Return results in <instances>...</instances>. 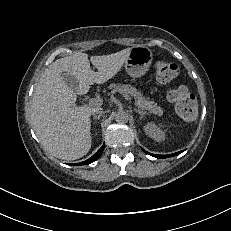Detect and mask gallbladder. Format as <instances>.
<instances>
[{
    "instance_id": "obj_1",
    "label": "gallbladder",
    "mask_w": 231,
    "mask_h": 231,
    "mask_svg": "<svg viewBox=\"0 0 231 231\" xmlns=\"http://www.w3.org/2000/svg\"><path fill=\"white\" fill-rule=\"evenodd\" d=\"M60 77L70 87L71 91L77 93L80 91L81 86L77 79L67 70L61 72Z\"/></svg>"
}]
</instances>
